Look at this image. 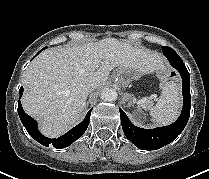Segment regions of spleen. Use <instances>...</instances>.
Listing matches in <instances>:
<instances>
[{
	"mask_svg": "<svg viewBox=\"0 0 209 179\" xmlns=\"http://www.w3.org/2000/svg\"><path fill=\"white\" fill-rule=\"evenodd\" d=\"M181 106L180 85L175 81H169L163 85L156 105L150 109V115L156 123L168 125L177 119Z\"/></svg>",
	"mask_w": 209,
	"mask_h": 179,
	"instance_id": "1",
	"label": "spleen"
}]
</instances>
